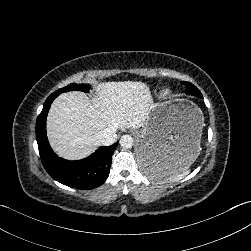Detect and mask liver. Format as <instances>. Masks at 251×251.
<instances>
[{"mask_svg":"<svg viewBox=\"0 0 251 251\" xmlns=\"http://www.w3.org/2000/svg\"><path fill=\"white\" fill-rule=\"evenodd\" d=\"M152 107L149 87L138 81L100 83L93 99L80 91L63 93L49 110L47 136L59 156L81 159L101 145L100 131L138 129Z\"/></svg>","mask_w":251,"mask_h":251,"instance_id":"obj_1","label":"liver"}]
</instances>
